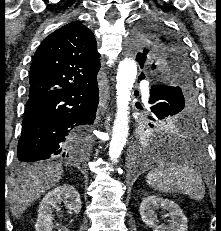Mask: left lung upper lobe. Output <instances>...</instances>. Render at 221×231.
<instances>
[{"label":"left lung upper lobe","instance_id":"left-lung-upper-lobe-1","mask_svg":"<svg viewBox=\"0 0 221 231\" xmlns=\"http://www.w3.org/2000/svg\"><path fill=\"white\" fill-rule=\"evenodd\" d=\"M139 52L136 61L167 93L163 100L150 104L149 118L164 119L183 111L195 102V86L190 56L182 42L159 25H145L135 33ZM140 77H145L141 73Z\"/></svg>","mask_w":221,"mask_h":231}]
</instances>
